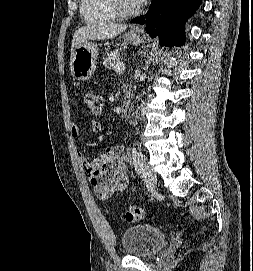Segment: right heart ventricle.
<instances>
[{"label":"right heart ventricle","mask_w":253,"mask_h":271,"mask_svg":"<svg viewBox=\"0 0 253 271\" xmlns=\"http://www.w3.org/2000/svg\"><path fill=\"white\" fill-rule=\"evenodd\" d=\"M79 3L81 16L88 24L109 23L118 17L111 0H79Z\"/></svg>","instance_id":"e07e8e85"}]
</instances>
